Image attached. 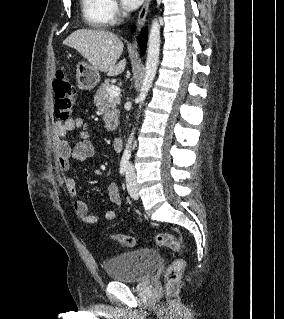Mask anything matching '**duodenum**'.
Returning a JSON list of instances; mask_svg holds the SVG:
<instances>
[{
	"mask_svg": "<svg viewBox=\"0 0 284 319\" xmlns=\"http://www.w3.org/2000/svg\"><path fill=\"white\" fill-rule=\"evenodd\" d=\"M123 138L122 137H116L113 140V147L115 150L120 151L123 147Z\"/></svg>",
	"mask_w": 284,
	"mask_h": 319,
	"instance_id": "obj_1",
	"label": "duodenum"
}]
</instances>
